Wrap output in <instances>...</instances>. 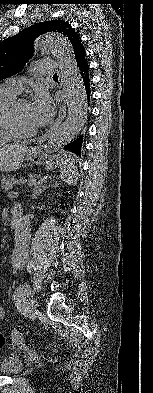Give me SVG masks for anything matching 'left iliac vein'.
<instances>
[{"instance_id":"left-iliac-vein-1","label":"left iliac vein","mask_w":153,"mask_h":393,"mask_svg":"<svg viewBox=\"0 0 153 393\" xmlns=\"http://www.w3.org/2000/svg\"><path fill=\"white\" fill-rule=\"evenodd\" d=\"M28 292H30V290H28ZM24 307L28 312H33L35 309V306L33 304V302L30 299H26L24 301Z\"/></svg>"}]
</instances>
